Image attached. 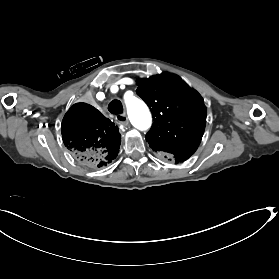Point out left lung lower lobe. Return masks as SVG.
<instances>
[{
  "instance_id": "1",
  "label": "left lung lower lobe",
  "mask_w": 279,
  "mask_h": 279,
  "mask_svg": "<svg viewBox=\"0 0 279 279\" xmlns=\"http://www.w3.org/2000/svg\"><path fill=\"white\" fill-rule=\"evenodd\" d=\"M190 156H187V155H176L174 156V160L176 163H179V162H183L185 160H187Z\"/></svg>"
}]
</instances>
